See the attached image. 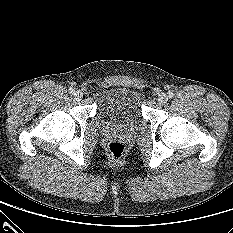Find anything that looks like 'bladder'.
I'll return each instance as SVG.
<instances>
[{"label":"bladder","mask_w":233,"mask_h":233,"mask_svg":"<svg viewBox=\"0 0 233 233\" xmlns=\"http://www.w3.org/2000/svg\"><path fill=\"white\" fill-rule=\"evenodd\" d=\"M143 92L129 86H109L96 94V120L106 126L136 127L143 120Z\"/></svg>","instance_id":"1"}]
</instances>
